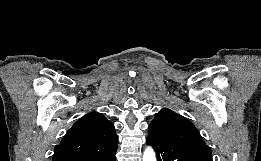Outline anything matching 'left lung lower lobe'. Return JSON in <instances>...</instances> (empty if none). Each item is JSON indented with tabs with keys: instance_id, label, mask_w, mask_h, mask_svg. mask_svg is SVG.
<instances>
[{
	"instance_id": "0a47b994",
	"label": "left lung lower lobe",
	"mask_w": 261,
	"mask_h": 161,
	"mask_svg": "<svg viewBox=\"0 0 261 161\" xmlns=\"http://www.w3.org/2000/svg\"><path fill=\"white\" fill-rule=\"evenodd\" d=\"M147 145L154 148L157 161H212L211 153L183 146H171L147 138Z\"/></svg>"
}]
</instances>
